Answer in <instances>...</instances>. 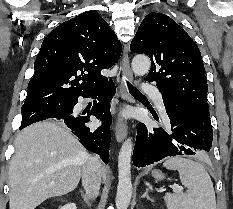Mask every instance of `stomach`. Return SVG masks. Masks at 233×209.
I'll use <instances>...</instances> for the list:
<instances>
[{
  "label": "stomach",
  "instance_id": "stomach-1",
  "mask_svg": "<svg viewBox=\"0 0 233 209\" xmlns=\"http://www.w3.org/2000/svg\"><path fill=\"white\" fill-rule=\"evenodd\" d=\"M152 175L156 180H162L163 179V174L160 171L155 170V171L152 172Z\"/></svg>",
  "mask_w": 233,
  "mask_h": 209
}]
</instances>
